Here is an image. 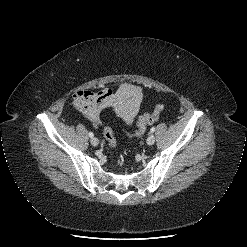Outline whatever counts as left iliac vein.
Here are the masks:
<instances>
[{
    "label": "left iliac vein",
    "instance_id": "1",
    "mask_svg": "<svg viewBox=\"0 0 247 247\" xmlns=\"http://www.w3.org/2000/svg\"><path fill=\"white\" fill-rule=\"evenodd\" d=\"M155 142V136L153 134H150L147 138V144L148 145H153Z\"/></svg>",
    "mask_w": 247,
    "mask_h": 247
}]
</instances>
